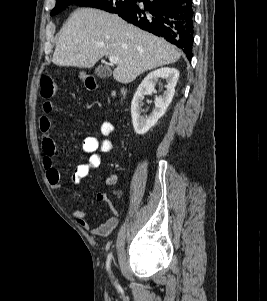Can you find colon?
<instances>
[{"mask_svg":"<svg viewBox=\"0 0 267 301\" xmlns=\"http://www.w3.org/2000/svg\"><path fill=\"white\" fill-rule=\"evenodd\" d=\"M40 88V94L44 99H49L53 97L57 92V85L55 81L48 76H44L41 78Z\"/></svg>","mask_w":267,"mask_h":301,"instance_id":"5ec220e1","label":"colon"}]
</instances>
